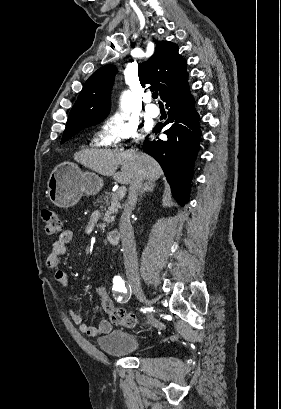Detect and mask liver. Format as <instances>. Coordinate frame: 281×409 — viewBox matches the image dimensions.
<instances>
[{"instance_id":"liver-1","label":"liver","mask_w":281,"mask_h":409,"mask_svg":"<svg viewBox=\"0 0 281 409\" xmlns=\"http://www.w3.org/2000/svg\"><path fill=\"white\" fill-rule=\"evenodd\" d=\"M75 160L87 168L103 176H113L121 184H131L134 176V164L140 162L144 172V180H158L163 170L152 156L141 150H109V148H83L74 154ZM118 164H122L121 172H116Z\"/></svg>"}]
</instances>
